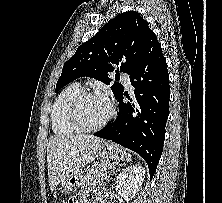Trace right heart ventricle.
<instances>
[{"label":"right heart ventricle","instance_id":"right-heart-ventricle-1","mask_svg":"<svg viewBox=\"0 0 222 203\" xmlns=\"http://www.w3.org/2000/svg\"><path fill=\"white\" fill-rule=\"evenodd\" d=\"M81 92H83V89L79 84H71L62 90L55 100L51 114V123L53 132L56 135L70 136L80 132L70 122L68 109L72 100Z\"/></svg>","mask_w":222,"mask_h":203}]
</instances>
